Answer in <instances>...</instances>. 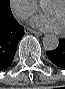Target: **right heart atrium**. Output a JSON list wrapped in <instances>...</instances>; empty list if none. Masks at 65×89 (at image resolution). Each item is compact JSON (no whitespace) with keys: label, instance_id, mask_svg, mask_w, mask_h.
I'll list each match as a JSON object with an SVG mask.
<instances>
[{"label":"right heart atrium","instance_id":"obj_1","mask_svg":"<svg viewBox=\"0 0 65 89\" xmlns=\"http://www.w3.org/2000/svg\"><path fill=\"white\" fill-rule=\"evenodd\" d=\"M11 8L23 21L31 20L39 11V5L35 0H12Z\"/></svg>","mask_w":65,"mask_h":89}]
</instances>
